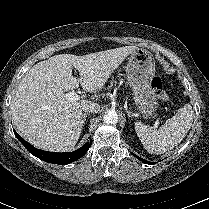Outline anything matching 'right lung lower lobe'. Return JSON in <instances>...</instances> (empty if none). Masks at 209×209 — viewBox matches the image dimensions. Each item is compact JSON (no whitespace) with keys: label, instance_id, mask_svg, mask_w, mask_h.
<instances>
[{"label":"right lung lower lobe","instance_id":"98d812e1","mask_svg":"<svg viewBox=\"0 0 209 209\" xmlns=\"http://www.w3.org/2000/svg\"><path fill=\"white\" fill-rule=\"evenodd\" d=\"M14 133L15 136L20 140V142L31 154L48 163H54L59 165H66L78 160L88 151L91 146V142H88L78 150L69 153L47 152L33 147L31 144L25 141L16 131H14Z\"/></svg>","mask_w":209,"mask_h":209}]
</instances>
